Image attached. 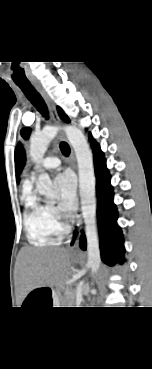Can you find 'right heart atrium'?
I'll use <instances>...</instances> for the list:
<instances>
[{"mask_svg":"<svg viewBox=\"0 0 152 369\" xmlns=\"http://www.w3.org/2000/svg\"><path fill=\"white\" fill-rule=\"evenodd\" d=\"M50 213L52 216L53 221L55 222V224L61 228V224H60V214L57 208L50 206Z\"/></svg>","mask_w":152,"mask_h":369,"instance_id":"d8ad5b80","label":"right heart atrium"}]
</instances>
